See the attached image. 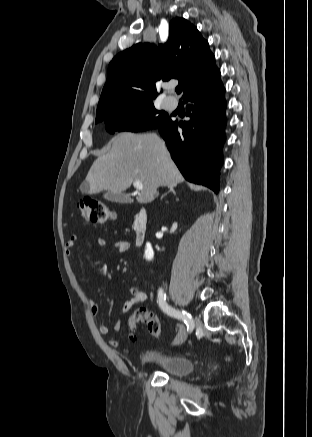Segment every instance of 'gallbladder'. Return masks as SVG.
<instances>
[{
  "mask_svg": "<svg viewBox=\"0 0 312 437\" xmlns=\"http://www.w3.org/2000/svg\"><path fill=\"white\" fill-rule=\"evenodd\" d=\"M104 198L106 200L112 201V202H119V203H128L132 202L133 199L129 195H123V194H115L112 192H107L104 194Z\"/></svg>",
  "mask_w": 312,
  "mask_h": 437,
  "instance_id": "bac80fb5",
  "label": "gallbladder"
}]
</instances>
